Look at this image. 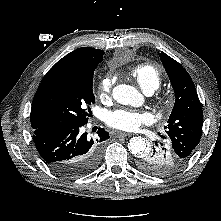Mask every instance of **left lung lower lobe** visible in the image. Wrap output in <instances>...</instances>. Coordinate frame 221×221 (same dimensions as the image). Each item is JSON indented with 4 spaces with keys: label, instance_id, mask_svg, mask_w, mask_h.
Wrapping results in <instances>:
<instances>
[{
    "label": "left lung lower lobe",
    "instance_id": "left-lung-lower-lobe-1",
    "mask_svg": "<svg viewBox=\"0 0 221 221\" xmlns=\"http://www.w3.org/2000/svg\"><path fill=\"white\" fill-rule=\"evenodd\" d=\"M161 138V142H155L153 149L138 159L137 166L151 175L168 176L183 168L187 161L176 154L166 136Z\"/></svg>",
    "mask_w": 221,
    "mask_h": 221
}]
</instances>
